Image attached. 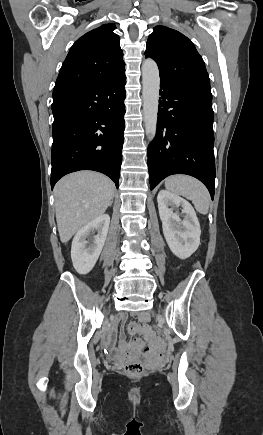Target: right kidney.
<instances>
[{"label": "right kidney", "instance_id": "1", "mask_svg": "<svg viewBox=\"0 0 263 435\" xmlns=\"http://www.w3.org/2000/svg\"><path fill=\"white\" fill-rule=\"evenodd\" d=\"M110 217L103 214L80 228L72 241L71 258L73 266L80 274L89 273L95 266L100 253L103 249L108 229ZM97 232L93 241L86 240L91 232Z\"/></svg>", "mask_w": 263, "mask_h": 435}]
</instances>
